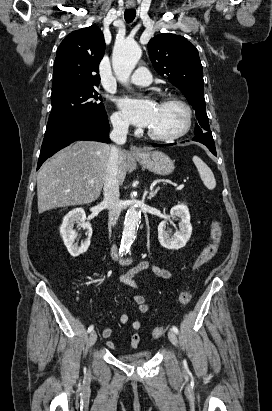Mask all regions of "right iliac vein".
Wrapping results in <instances>:
<instances>
[{
	"mask_svg": "<svg viewBox=\"0 0 272 411\" xmlns=\"http://www.w3.org/2000/svg\"><path fill=\"white\" fill-rule=\"evenodd\" d=\"M97 340V333L92 331L89 336V345L92 346Z\"/></svg>",
	"mask_w": 272,
	"mask_h": 411,
	"instance_id": "obj_1",
	"label": "right iliac vein"
}]
</instances>
